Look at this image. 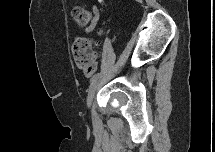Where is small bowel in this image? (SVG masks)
I'll list each match as a JSON object with an SVG mask.
<instances>
[{"label":"small bowel","instance_id":"c3829d8e","mask_svg":"<svg viewBox=\"0 0 215 152\" xmlns=\"http://www.w3.org/2000/svg\"><path fill=\"white\" fill-rule=\"evenodd\" d=\"M92 11H93V18L89 23V25L86 27V32L88 33L92 32L96 28L98 18H99V9L96 6L93 7Z\"/></svg>","mask_w":215,"mask_h":152}]
</instances>
